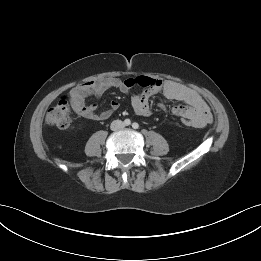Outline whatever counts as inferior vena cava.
<instances>
[{
    "label": "inferior vena cava",
    "instance_id": "inferior-vena-cava-1",
    "mask_svg": "<svg viewBox=\"0 0 261 261\" xmlns=\"http://www.w3.org/2000/svg\"><path fill=\"white\" fill-rule=\"evenodd\" d=\"M123 127H124V123L121 120H114L110 126L111 130L113 131L122 129Z\"/></svg>",
    "mask_w": 261,
    "mask_h": 261
}]
</instances>
